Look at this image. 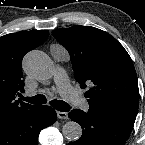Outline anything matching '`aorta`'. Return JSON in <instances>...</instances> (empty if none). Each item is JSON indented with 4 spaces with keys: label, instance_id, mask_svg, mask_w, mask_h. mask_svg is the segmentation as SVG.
I'll use <instances>...</instances> for the list:
<instances>
[{
    "label": "aorta",
    "instance_id": "obj_1",
    "mask_svg": "<svg viewBox=\"0 0 145 145\" xmlns=\"http://www.w3.org/2000/svg\"><path fill=\"white\" fill-rule=\"evenodd\" d=\"M25 72L37 80H48L54 72V65L51 59L42 51L32 50L23 60ZM63 136L69 141H76L82 136V127L74 121L63 125Z\"/></svg>",
    "mask_w": 145,
    "mask_h": 145
}]
</instances>
